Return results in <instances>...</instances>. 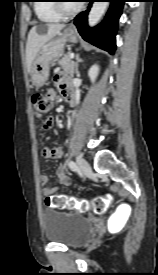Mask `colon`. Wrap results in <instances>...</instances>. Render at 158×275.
Instances as JSON below:
<instances>
[{"label": "colon", "instance_id": "1", "mask_svg": "<svg viewBox=\"0 0 158 275\" xmlns=\"http://www.w3.org/2000/svg\"><path fill=\"white\" fill-rule=\"evenodd\" d=\"M32 102L34 105L35 117L37 119L44 118L51 107V98L44 94L36 93L32 97ZM111 200V195L96 197L92 200L54 195L46 197L45 205L52 209H75L82 213L91 211L95 214H102L107 210Z\"/></svg>", "mask_w": 158, "mask_h": 275}]
</instances>
